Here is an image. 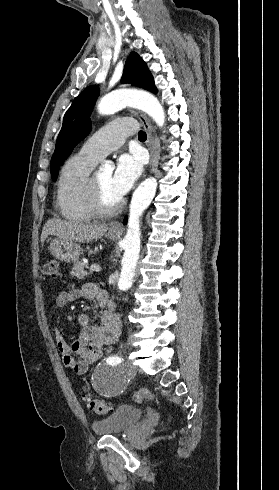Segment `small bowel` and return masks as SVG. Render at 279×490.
Returning <instances> with one entry per match:
<instances>
[{"instance_id":"c3829d8e","label":"small bowel","mask_w":279,"mask_h":490,"mask_svg":"<svg viewBox=\"0 0 279 490\" xmlns=\"http://www.w3.org/2000/svg\"><path fill=\"white\" fill-rule=\"evenodd\" d=\"M80 298L96 301L100 322L94 323L91 315L83 312L77 316L78 324L81 326L78 339L72 343L68 342L57 327H54V335L63 364L78 374H84L101 357L105 347L118 341L121 320L108 293L93 284L60 292L53 298L51 307L58 310ZM75 354L80 356L79 360L75 358Z\"/></svg>"}]
</instances>
